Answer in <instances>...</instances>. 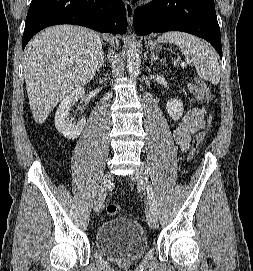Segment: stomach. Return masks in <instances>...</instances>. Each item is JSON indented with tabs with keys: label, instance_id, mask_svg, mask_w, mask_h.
<instances>
[{
	"label": "stomach",
	"instance_id": "stomach-1",
	"mask_svg": "<svg viewBox=\"0 0 253 271\" xmlns=\"http://www.w3.org/2000/svg\"><path fill=\"white\" fill-rule=\"evenodd\" d=\"M148 44H149V46H150L151 48H153V49H155V48L157 47L156 42L150 41Z\"/></svg>",
	"mask_w": 253,
	"mask_h": 271
}]
</instances>
